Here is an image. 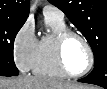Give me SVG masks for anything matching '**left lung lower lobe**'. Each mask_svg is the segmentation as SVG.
Here are the masks:
<instances>
[{
	"label": "left lung lower lobe",
	"mask_w": 107,
	"mask_h": 89,
	"mask_svg": "<svg viewBox=\"0 0 107 89\" xmlns=\"http://www.w3.org/2000/svg\"><path fill=\"white\" fill-rule=\"evenodd\" d=\"M78 81L99 85L107 89V56L94 64V69L88 76Z\"/></svg>",
	"instance_id": "0a47b994"
}]
</instances>
